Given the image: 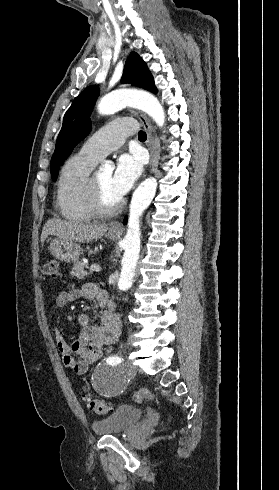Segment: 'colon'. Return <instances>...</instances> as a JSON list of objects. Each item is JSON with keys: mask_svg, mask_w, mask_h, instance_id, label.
I'll return each instance as SVG.
<instances>
[{"mask_svg": "<svg viewBox=\"0 0 279 490\" xmlns=\"http://www.w3.org/2000/svg\"><path fill=\"white\" fill-rule=\"evenodd\" d=\"M58 273V262L56 260H50L45 263L41 269V274L43 277L56 278ZM136 402H141L144 399L155 400L156 397L151 390L141 389L138 390L134 396ZM86 404L92 412L99 415H107L112 412L113 408L109 401L104 399H96L90 395L85 396Z\"/></svg>", "mask_w": 279, "mask_h": 490, "instance_id": "1", "label": "colon"}]
</instances>
